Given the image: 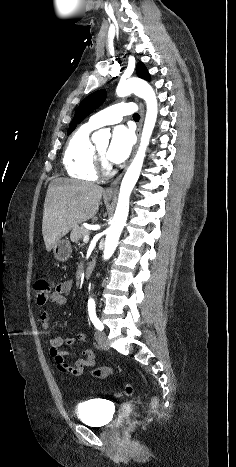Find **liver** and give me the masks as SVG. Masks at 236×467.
<instances>
[{
  "label": "liver",
  "instance_id": "liver-1",
  "mask_svg": "<svg viewBox=\"0 0 236 467\" xmlns=\"http://www.w3.org/2000/svg\"><path fill=\"white\" fill-rule=\"evenodd\" d=\"M103 191L96 184L64 178L50 183L42 220V234L48 252L71 229L97 214Z\"/></svg>",
  "mask_w": 236,
  "mask_h": 467
}]
</instances>
